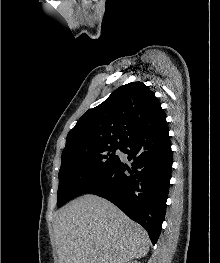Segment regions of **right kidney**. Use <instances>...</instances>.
I'll return each instance as SVG.
<instances>
[{
    "instance_id": "right-kidney-1",
    "label": "right kidney",
    "mask_w": 220,
    "mask_h": 263,
    "mask_svg": "<svg viewBox=\"0 0 220 263\" xmlns=\"http://www.w3.org/2000/svg\"><path fill=\"white\" fill-rule=\"evenodd\" d=\"M127 263H140V262H138V261H129Z\"/></svg>"
}]
</instances>
